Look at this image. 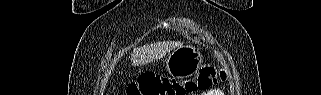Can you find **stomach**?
<instances>
[{"label":"stomach","mask_w":321,"mask_h":95,"mask_svg":"<svg viewBox=\"0 0 321 95\" xmlns=\"http://www.w3.org/2000/svg\"><path fill=\"white\" fill-rule=\"evenodd\" d=\"M203 64L201 52L194 46L186 45L175 49L166 60V70L176 79L193 76Z\"/></svg>","instance_id":"0dacf381"}]
</instances>
